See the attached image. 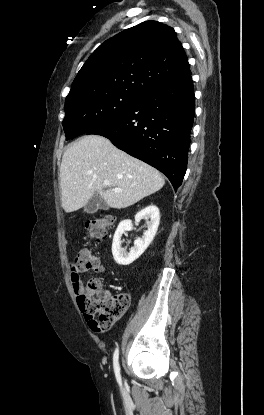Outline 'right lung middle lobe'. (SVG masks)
I'll list each match as a JSON object with an SVG mask.
<instances>
[{"mask_svg": "<svg viewBox=\"0 0 264 415\" xmlns=\"http://www.w3.org/2000/svg\"><path fill=\"white\" fill-rule=\"evenodd\" d=\"M140 97L127 92H107L65 100L63 128L66 140L121 116L130 110Z\"/></svg>", "mask_w": 264, "mask_h": 415, "instance_id": "obj_1", "label": "right lung middle lobe"}]
</instances>
